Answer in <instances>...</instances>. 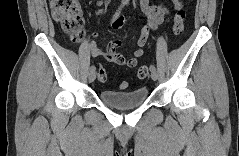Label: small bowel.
I'll return each mask as SVG.
<instances>
[{
  "label": "small bowel",
  "instance_id": "c3829d8e",
  "mask_svg": "<svg viewBox=\"0 0 239 156\" xmlns=\"http://www.w3.org/2000/svg\"><path fill=\"white\" fill-rule=\"evenodd\" d=\"M173 7L174 9H178L182 7V3L178 0H174ZM140 9L146 17V24L142 28L137 39L133 55L127 57L118 52V49L123 46V42L121 40H112L106 47L91 43L89 46L95 57L103 56L107 61L127 68H134L137 65V59L144 54L143 46L148 40L150 30L156 29L170 14V9L161 5L158 1L150 2L148 0H142L140 2ZM125 23L126 19L117 17L112 21V27L114 29H121L124 27Z\"/></svg>",
  "mask_w": 239,
  "mask_h": 156
}]
</instances>
